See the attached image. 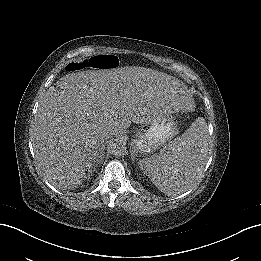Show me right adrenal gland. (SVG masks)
I'll list each match as a JSON object with an SVG mask.
<instances>
[{
	"label": "right adrenal gland",
	"instance_id": "2a0ac1e0",
	"mask_svg": "<svg viewBox=\"0 0 261 261\" xmlns=\"http://www.w3.org/2000/svg\"><path fill=\"white\" fill-rule=\"evenodd\" d=\"M103 153H104V144H102V152H101L102 155H101V157L104 155Z\"/></svg>",
	"mask_w": 261,
	"mask_h": 261
}]
</instances>
